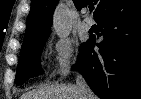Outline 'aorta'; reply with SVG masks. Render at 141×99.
Instances as JSON below:
<instances>
[{
    "label": "aorta",
    "instance_id": "762f6f07",
    "mask_svg": "<svg viewBox=\"0 0 141 99\" xmlns=\"http://www.w3.org/2000/svg\"><path fill=\"white\" fill-rule=\"evenodd\" d=\"M53 28L60 38H67L71 32V19L68 8L59 4L53 15Z\"/></svg>",
    "mask_w": 141,
    "mask_h": 99
}]
</instances>
